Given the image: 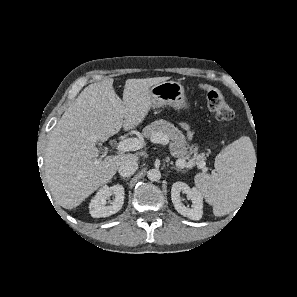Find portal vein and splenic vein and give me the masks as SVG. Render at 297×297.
<instances>
[{
    "label": "portal vein and splenic vein",
    "instance_id": "portal-vein-and-splenic-vein-1",
    "mask_svg": "<svg viewBox=\"0 0 297 297\" xmlns=\"http://www.w3.org/2000/svg\"><path fill=\"white\" fill-rule=\"evenodd\" d=\"M151 141L153 143H160L163 145H168L169 143V139L167 137V135H165L164 133L161 132H157L155 134L152 135L151 137ZM143 142L137 138H127L124 139L123 141L119 142L117 149L118 151H123V152H127V151H136L139 150L143 147ZM176 164L185 167V168H191L193 166L192 162H185L182 159H178L176 161ZM200 168H204V164L201 163L199 165Z\"/></svg>",
    "mask_w": 297,
    "mask_h": 297
}]
</instances>
